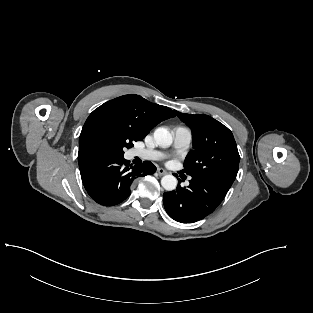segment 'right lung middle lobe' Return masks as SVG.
Wrapping results in <instances>:
<instances>
[{
  "instance_id": "1",
  "label": "right lung middle lobe",
  "mask_w": 313,
  "mask_h": 313,
  "mask_svg": "<svg viewBox=\"0 0 313 313\" xmlns=\"http://www.w3.org/2000/svg\"><path fill=\"white\" fill-rule=\"evenodd\" d=\"M138 140L131 131L122 128L117 129L110 134L103 155L123 157L124 148L133 147V142Z\"/></svg>"
}]
</instances>
